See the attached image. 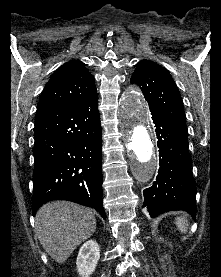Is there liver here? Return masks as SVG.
Here are the masks:
<instances>
[{
	"label": "liver",
	"instance_id": "6515ba94",
	"mask_svg": "<svg viewBox=\"0 0 221 277\" xmlns=\"http://www.w3.org/2000/svg\"><path fill=\"white\" fill-rule=\"evenodd\" d=\"M96 229L94 211L68 201L40 207L35 218V235L47 254L64 263Z\"/></svg>",
	"mask_w": 221,
	"mask_h": 277
}]
</instances>
